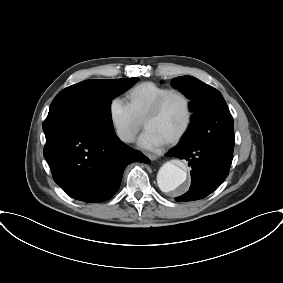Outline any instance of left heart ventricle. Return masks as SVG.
Masks as SVG:
<instances>
[{
  "mask_svg": "<svg viewBox=\"0 0 283 283\" xmlns=\"http://www.w3.org/2000/svg\"><path fill=\"white\" fill-rule=\"evenodd\" d=\"M185 119V102L180 96L173 95L168 98L159 114L147 122L146 129L167 141L182 128Z\"/></svg>",
  "mask_w": 283,
  "mask_h": 283,
  "instance_id": "left-heart-ventricle-1",
  "label": "left heart ventricle"
}]
</instances>
